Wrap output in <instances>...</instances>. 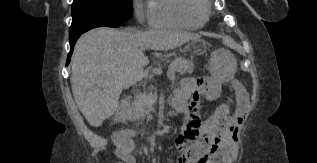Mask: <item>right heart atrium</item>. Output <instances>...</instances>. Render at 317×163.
<instances>
[{"mask_svg":"<svg viewBox=\"0 0 317 163\" xmlns=\"http://www.w3.org/2000/svg\"><path fill=\"white\" fill-rule=\"evenodd\" d=\"M132 8L136 20L140 24H145L150 21L151 6L148 0H132Z\"/></svg>","mask_w":317,"mask_h":163,"instance_id":"right-heart-atrium-1","label":"right heart atrium"}]
</instances>
